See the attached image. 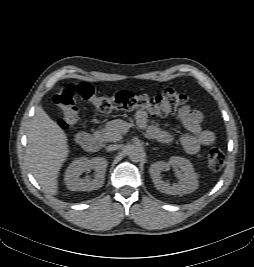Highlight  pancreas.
<instances>
[{"mask_svg": "<svg viewBox=\"0 0 254 267\" xmlns=\"http://www.w3.org/2000/svg\"><path fill=\"white\" fill-rule=\"evenodd\" d=\"M124 133V121L120 119L112 120L106 127L96 132V137L100 142H116L121 139Z\"/></svg>", "mask_w": 254, "mask_h": 267, "instance_id": "obj_1", "label": "pancreas"}]
</instances>
